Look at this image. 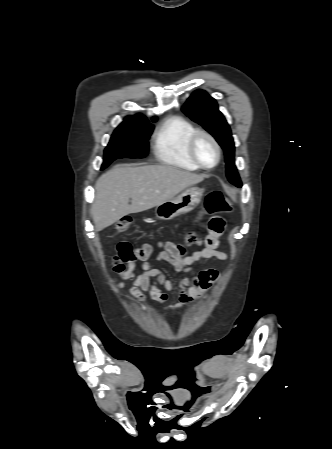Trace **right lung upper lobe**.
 I'll use <instances>...</instances> for the list:
<instances>
[{"instance_id":"right-lung-upper-lobe-1","label":"right lung upper lobe","mask_w":332,"mask_h":449,"mask_svg":"<svg viewBox=\"0 0 332 449\" xmlns=\"http://www.w3.org/2000/svg\"><path fill=\"white\" fill-rule=\"evenodd\" d=\"M131 119H142V120H146V118L143 115H135V116H129L126 117L124 120H131ZM156 119V118H153Z\"/></svg>"}]
</instances>
